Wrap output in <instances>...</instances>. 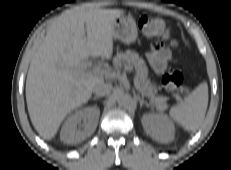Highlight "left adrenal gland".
<instances>
[{"mask_svg": "<svg viewBox=\"0 0 231 170\" xmlns=\"http://www.w3.org/2000/svg\"><path fill=\"white\" fill-rule=\"evenodd\" d=\"M138 100H139V102H140V108H142L143 105H146L147 107L150 106V104H148L146 101H144V99L141 98L140 96H138Z\"/></svg>", "mask_w": 231, "mask_h": 170, "instance_id": "a2214340", "label": "left adrenal gland"}]
</instances>
